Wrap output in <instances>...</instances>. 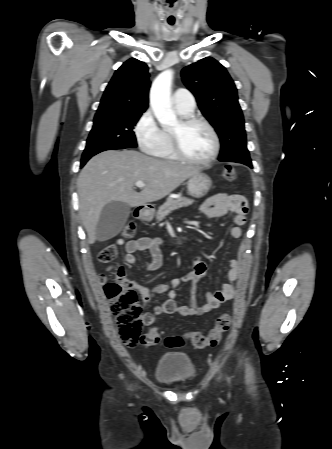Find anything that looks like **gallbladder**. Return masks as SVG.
<instances>
[{
    "mask_svg": "<svg viewBox=\"0 0 332 449\" xmlns=\"http://www.w3.org/2000/svg\"><path fill=\"white\" fill-rule=\"evenodd\" d=\"M129 214L130 207L127 203L112 201L105 205L96 226V239L106 241L118 235L123 229Z\"/></svg>",
    "mask_w": 332,
    "mask_h": 449,
    "instance_id": "1",
    "label": "gallbladder"
}]
</instances>
